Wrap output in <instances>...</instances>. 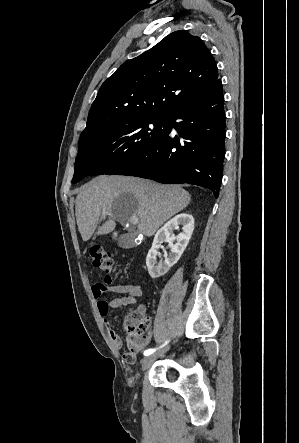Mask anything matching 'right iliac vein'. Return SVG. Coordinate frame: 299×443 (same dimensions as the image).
I'll list each match as a JSON object with an SVG mask.
<instances>
[{"mask_svg": "<svg viewBox=\"0 0 299 443\" xmlns=\"http://www.w3.org/2000/svg\"><path fill=\"white\" fill-rule=\"evenodd\" d=\"M163 353L164 352H161V353L156 354V355L144 357L142 359V368L146 369L158 356L162 355Z\"/></svg>", "mask_w": 299, "mask_h": 443, "instance_id": "1", "label": "right iliac vein"}]
</instances>
